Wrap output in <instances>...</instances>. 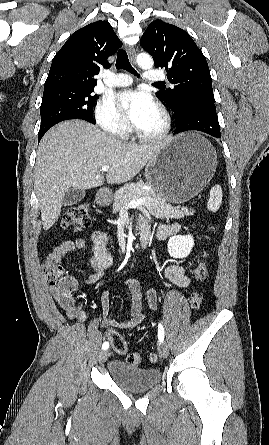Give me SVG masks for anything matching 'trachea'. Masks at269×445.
<instances>
[{
  "label": "trachea",
  "instance_id": "3493384b",
  "mask_svg": "<svg viewBox=\"0 0 269 445\" xmlns=\"http://www.w3.org/2000/svg\"><path fill=\"white\" fill-rule=\"evenodd\" d=\"M116 68L127 70L128 72L139 77V74L134 70V68L132 67V65L128 59L127 52L123 49L119 50L117 53ZM157 84H161V83L157 82Z\"/></svg>",
  "mask_w": 269,
  "mask_h": 445
}]
</instances>
